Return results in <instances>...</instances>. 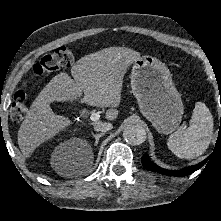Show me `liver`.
Wrapping results in <instances>:
<instances>
[{"label":"liver","mask_w":221,"mask_h":221,"mask_svg":"<svg viewBox=\"0 0 221 221\" xmlns=\"http://www.w3.org/2000/svg\"><path fill=\"white\" fill-rule=\"evenodd\" d=\"M141 58L126 47H108L79 59L71 75L59 73L42 89L27 112L18 131V145L24 157H30L43 142L71 124L67 117L55 114L52 102H75L84 93L83 102L96 107H111L105 118L115 120L121 101L124 75Z\"/></svg>","instance_id":"1"}]
</instances>
